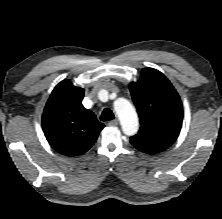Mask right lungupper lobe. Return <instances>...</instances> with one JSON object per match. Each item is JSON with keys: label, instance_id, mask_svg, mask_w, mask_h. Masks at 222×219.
I'll return each instance as SVG.
<instances>
[{"label": "right lung upper lobe", "instance_id": "right-lung-upper-lobe-1", "mask_svg": "<svg viewBox=\"0 0 222 219\" xmlns=\"http://www.w3.org/2000/svg\"><path fill=\"white\" fill-rule=\"evenodd\" d=\"M84 89L61 81L53 90L42 116L49 144L67 156L84 154L104 128L94 113L82 105Z\"/></svg>", "mask_w": 222, "mask_h": 219}]
</instances>
